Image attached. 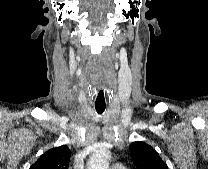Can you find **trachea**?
I'll return each instance as SVG.
<instances>
[{
    "label": "trachea",
    "mask_w": 208,
    "mask_h": 169,
    "mask_svg": "<svg viewBox=\"0 0 208 169\" xmlns=\"http://www.w3.org/2000/svg\"><path fill=\"white\" fill-rule=\"evenodd\" d=\"M106 106H97L95 105V109L97 111L98 114H102L105 111Z\"/></svg>",
    "instance_id": "trachea-1"
}]
</instances>
